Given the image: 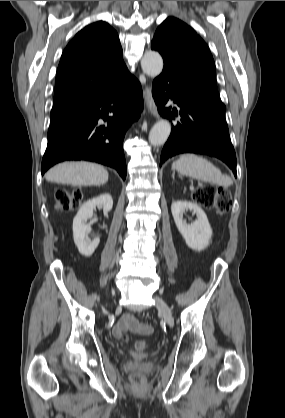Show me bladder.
I'll return each instance as SVG.
<instances>
[{
    "label": "bladder",
    "instance_id": "31cf9c89",
    "mask_svg": "<svg viewBox=\"0 0 285 418\" xmlns=\"http://www.w3.org/2000/svg\"><path fill=\"white\" fill-rule=\"evenodd\" d=\"M129 356H130L133 360H136V361H140V360L146 359V358L148 357L146 354H143V353H137V352H131V353L129 354Z\"/></svg>",
    "mask_w": 285,
    "mask_h": 418
}]
</instances>
